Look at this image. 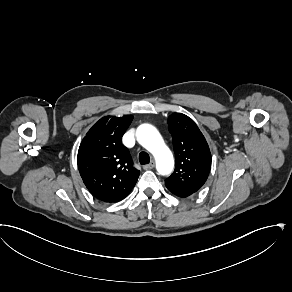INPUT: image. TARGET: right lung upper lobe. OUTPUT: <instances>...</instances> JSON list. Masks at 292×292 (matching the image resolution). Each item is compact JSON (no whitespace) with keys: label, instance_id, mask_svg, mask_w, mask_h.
<instances>
[{"label":"right lung upper lobe","instance_id":"obj_1","mask_svg":"<svg viewBox=\"0 0 292 292\" xmlns=\"http://www.w3.org/2000/svg\"><path fill=\"white\" fill-rule=\"evenodd\" d=\"M132 115L106 116L98 120L83 138L78 150V169L91 194L103 202H118L131 192L140 171L133 167L122 136Z\"/></svg>","mask_w":292,"mask_h":292}]
</instances>
